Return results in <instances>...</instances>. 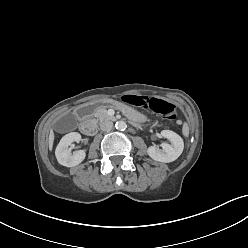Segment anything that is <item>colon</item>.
I'll use <instances>...</instances> for the list:
<instances>
[{
    "mask_svg": "<svg viewBox=\"0 0 248 248\" xmlns=\"http://www.w3.org/2000/svg\"><path fill=\"white\" fill-rule=\"evenodd\" d=\"M131 104L153 111L167 120H174L177 116L176 106L160 98H148L145 96L130 97Z\"/></svg>",
    "mask_w": 248,
    "mask_h": 248,
    "instance_id": "obj_1",
    "label": "colon"
}]
</instances>
